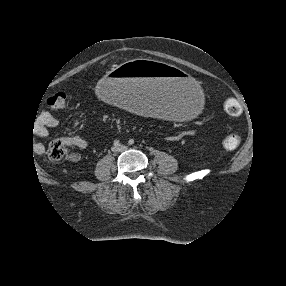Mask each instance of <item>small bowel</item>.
<instances>
[{
	"instance_id": "c3829d8e",
	"label": "small bowel",
	"mask_w": 286,
	"mask_h": 286,
	"mask_svg": "<svg viewBox=\"0 0 286 286\" xmlns=\"http://www.w3.org/2000/svg\"><path fill=\"white\" fill-rule=\"evenodd\" d=\"M58 124V120L56 117L51 115L48 112H43L40 117V124L36 128L37 135L41 138H46L49 135V129L55 127ZM195 131L193 129H187L182 132L172 134L168 136V140L170 142H177L181 140L185 136L193 135ZM62 143L70 148L72 151L82 150L87 148L88 142L86 139L80 136H65L61 138ZM35 149L39 152H43V145L41 143H37L35 145ZM79 155L75 152L72 153L71 159L77 160Z\"/></svg>"
}]
</instances>
